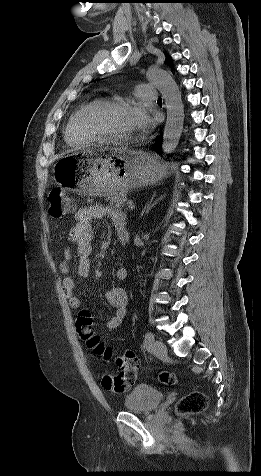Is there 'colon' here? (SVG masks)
I'll return each mask as SVG.
<instances>
[{"instance_id": "1", "label": "colon", "mask_w": 261, "mask_h": 476, "mask_svg": "<svg viewBox=\"0 0 261 476\" xmlns=\"http://www.w3.org/2000/svg\"><path fill=\"white\" fill-rule=\"evenodd\" d=\"M49 211L53 217L61 218L74 210L72 198L61 186L52 188L49 193ZM92 316L86 311L79 312L76 320L77 332L86 346L96 355L109 360L113 357L112 349L107 347L92 330ZM116 364L119 367V373L101 374L100 382L104 389L114 393L126 392L135 382L138 370L139 359L132 351H126L123 355L116 358ZM163 383L171 385L177 381L176 376L171 372L161 374ZM207 406V397L199 392L193 391L179 401L177 411L180 414H195L204 410Z\"/></svg>"}]
</instances>
